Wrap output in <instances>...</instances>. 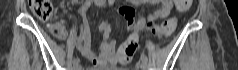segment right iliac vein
I'll use <instances>...</instances> for the list:
<instances>
[{
  "label": "right iliac vein",
  "mask_w": 238,
  "mask_h": 70,
  "mask_svg": "<svg viewBox=\"0 0 238 70\" xmlns=\"http://www.w3.org/2000/svg\"><path fill=\"white\" fill-rule=\"evenodd\" d=\"M81 66L79 64H74L73 65V70H80Z\"/></svg>",
  "instance_id": "1"
}]
</instances>
